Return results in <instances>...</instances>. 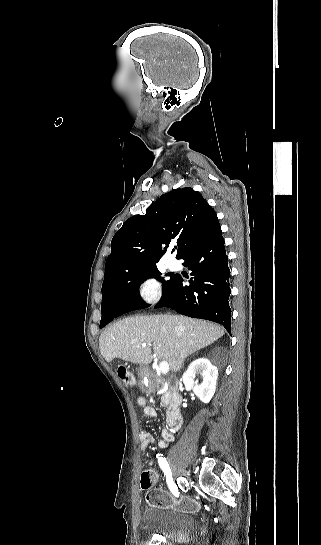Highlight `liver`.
<instances>
[{"label": "liver", "instance_id": "6515ba94", "mask_svg": "<svg viewBox=\"0 0 321 545\" xmlns=\"http://www.w3.org/2000/svg\"><path fill=\"white\" fill-rule=\"evenodd\" d=\"M224 333L219 325L182 315L127 317L104 329L99 337V349L107 363L122 359L148 367L155 355L167 361L171 371H179L188 355L208 347ZM142 343H147V347H141ZM150 343H153L154 355Z\"/></svg>", "mask_w": 321, "mask_h": 545}]
</instances>
